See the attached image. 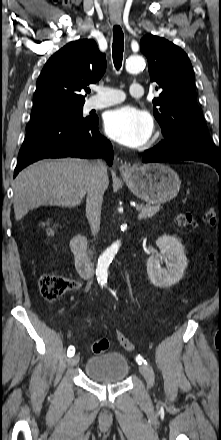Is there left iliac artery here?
<instances>
[{
    "label": "left iliac artery",
    "instance_id": "44dca946",
    "mask_svg": "<svg viewBox=\"0 0 221 440\" xmlns=\"http://www.w3.org/2000/svg\"><path fill=\"white\" fill-rule=\"evenodd\" d=\"M136 362H137L138 364H142V363H144V364L147 365L146 360H144L140 355L136 357Z\"/></svg>",
    "mask_w": 221,
    "mask_h": 440
}]
</instances>
